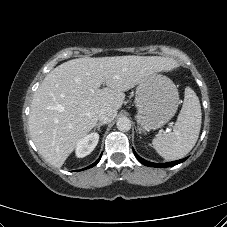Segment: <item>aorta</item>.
I'll use <instances>...</instances> for the list:
<instances>
[{"label":"aorta","mask_w":227,"mask_h":227,"mask_svg":"<svg viewBox=\"0 0 227 227\" xmlns=\"http://www.w3.org/2000/svg\"><path fill=\"white\" fill-rule=\"evenodd\" d=\"M117 128L122 132H127L131 129V121L127 117H121L117 120Z\"/></svg>","instance_id":"762f6f07"}]
</instances>
